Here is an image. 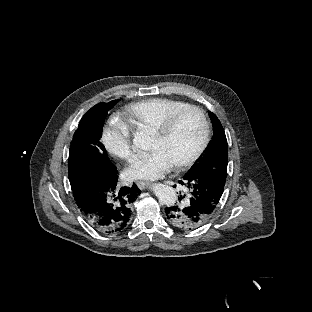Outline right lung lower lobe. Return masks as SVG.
<instances>
[{
  "label": "right lung lower lobe",
  "instance_id": "98d812e1",
  "mask_svg": "<svg viewBox=\"0 0 312 312\" xmlns=\"http://www.w3.org/2000/svg\"><path fill=\"white\" fill-rule=\"evenodd\" d=\"M117 177V173L104 176L79 185L73 192L82 216L101 234L115 235L126 231L132 203L140 191L135 184L131 188L118 189Z\"/></svg>",
  "mask_w": 312,
  "mask_h": 312
}]
</instances>
